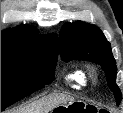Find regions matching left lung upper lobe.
<instances>
[{"label":"left lung upper lobe","mask_w":123,"mask_h":113,"mask_svg":"<svg viewBox=\"0 0 123 113\" xmlns=\"http://www.w3.org/2000/svg\"><path fill=\"white\" fill-rule=\"evenodd\" d=\"M60 56L63 61L88 60L99 64L106 73L107 83L115 93L116 103L121 101V92L115 83L117 67L110 43L102 31L94 26L77 21L63 26L60 33Z\"/></svg>","instance_id":"5c2ea615"}]
</instances>
